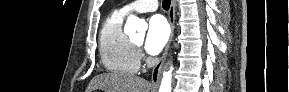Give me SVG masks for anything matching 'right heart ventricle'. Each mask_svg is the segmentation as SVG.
<instances>
[{
	"mask_svg": "<svg viewBox=\"0 0 289 92\" xmlns=\"http://www.w3.org/2000/svg\"><path fill=\"white\" fill-rule=\"evenodd\" d=\"M124 14L111 13L99 35V50L103 66L110 72L134 74L139 69V57L133 42L123 32Z\"/></svg>",
	"mask_w": 289,
	"mask_h": 92,
	"instance_id": "e07e8e85",
	"label": "right heart ventricle"
}]
</instances>
